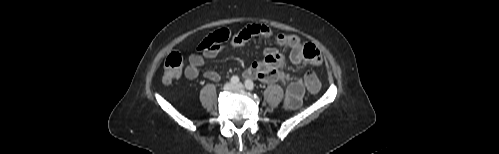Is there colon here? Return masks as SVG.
Wrapping results in <instances>:
<instances>
[{"instance_id": "1", "label": "colon", "mask_w": 499, "mask_h": 154, "mask_svg": "<svg viewBox=\"0 0 499 154\" xmlns=\"http://www.w3.org/2000/svg\"><path fill=\"white\" fill-rule=\"evenodd\" d=\"M183 68V57L178 51L170 53L164 63L163 81L170 84L181 75ZM304 86L310 93H317L321 87L318 76L313 71H308L303 80Z\"/></svg>"}]
</instances>
